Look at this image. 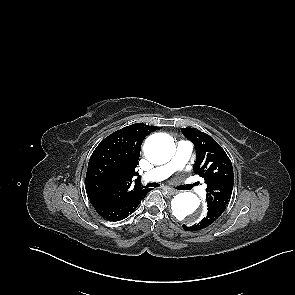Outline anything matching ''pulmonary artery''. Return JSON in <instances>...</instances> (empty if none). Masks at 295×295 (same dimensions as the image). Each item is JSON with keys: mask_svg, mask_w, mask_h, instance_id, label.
Returning a JSON list of instances; mask_svg holds the SVG:
<instances>
[{"mask_svg": "<svg viewBox=\"0 0 295 295\" xmlns=\"http://www.w3.org/2000/svg\"><path fill=\"white\" fill-rule=\"evenodd\" d=\"M193 145L189 141H180L177 144L176 152L173 158L166 163L165 165L158 166L151 171L145 173L143 175L144 181H162L168 178L174 172L181 170L185 164L187 163L191 152H192ZM196 191L199 194H204L205 190L203 187L196 188Z\"/></svg>", "mask_w": 295, "mask_h": 295, "instance_id": "obj_1", "label": "pulmonary artery"}]
</instances>
